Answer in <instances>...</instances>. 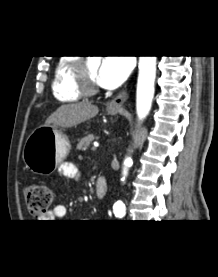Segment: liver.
I'll use <instances>...</instances> for the list:
<instances>
[{"instance_id": "6515ba94", "label": "liver", "mask_w": 218, "mask_h": 277, "mask_svg": "<svg viewBox=\"0 0 218 277\" xmlns=\"http://www.w3.org/2000/svg\"><path fill=\"white\" fill-rule=\"evenodd\" d=\"M98 111L97 106L87 101L61 105L47 118L43 126L54 124L61 127H73L95 117Z\"/></svg>"}]
</instances>
